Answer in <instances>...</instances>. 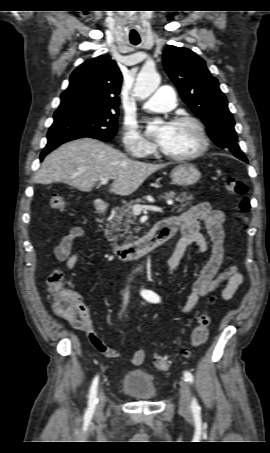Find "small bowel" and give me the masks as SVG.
Masks as SVG:
<instances>
[{"label":"small bowel","mask_w":270,"mask_h":453,"mask_svg":"<svg viewBox=\"0 0 270 453\" xmlns=\"http://www.w3.org/2000/svg\"><path fill=\"white\" fill-rule=\"evenodd\" d=\"M226 215L223 209H215L207 202H201L184 213L166 218L165 221L173 227L180 229L182 237L177 243L170 259L166 274L171 275L180 264L189 246L195 245L202 254L209 249L206 238L201 233L204 225L210 242L211 253L208 261L201 269L192 285V291L187 295L185 304L180 311L181 315L189 314L197 305L200 297L215 291L222 283L226 285L222 291L224 300L232 298L234 293L243 283V275L235 265L223 268L224 260V224ZM85 230L81 226H74L62 237L60 243L54 248V256L58 261L64 262L68 270H73L80 258V252L73 251V242L85 236ZM79 300L78 314L74 317L63 318L77 330L88 334L92 345L103 355L111 358H119V351L107 346L95 332V322L90 318V311L83 302L81 295L75 294ZM130 363L139 366L145 361V353L142 350L132 352Z\"/></svg>","instance_id":"obj_1"}]
</instances>
